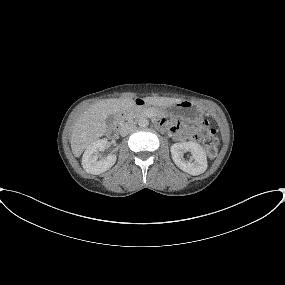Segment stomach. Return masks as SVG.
I'll list each match as a JSON object with an SVG mask.
<instances>
[{"mask_svg": "<svg viewBox=\"0 0 285 285\" xmlns=\"http://www.w3.org/2000/svg\"><path fill=\"white\" fill-rule=\"evenodd\" d=\"M164 110L173 117L187 121H197L203 116V109L193 101L182 100Z\"/></svg>", "mask_w": 285, "mask_h": 285, "instance_id": "stomach-1", "label": "stomach"}]
</instances>
